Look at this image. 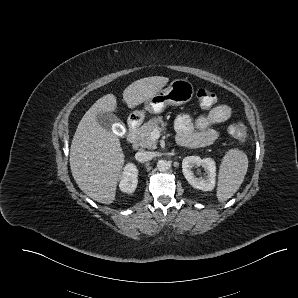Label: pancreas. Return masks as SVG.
Wrapping results in <instances>:
<instances>
[{"label":"pancreas","mask_w":298,"mask_h":298,"mask_svg":"<svg viewBox=\"0 0 298 298\" xmlns=\"http://www.w3.org/2000/svg\"><path fill=\"white\" fill-rule=\"evenodd\" d=\"M159 125L161 128L165 127L162 116L150 118L138 128L136 139L141 148H147L149 150L157 148V141L151 138V132L154 128L159 127Z\"/></svg>","instance_id":"obj_1"}]
</instances>
